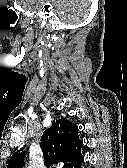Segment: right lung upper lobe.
Listing matches in <instances>:
<instances>
[{
  "instance_id": "right-lung-upper-lobe-1",
  "label": "right lung upper lobe",
  "mask_w": 127,
  "mask_h": 168,
  "mask_svg": "<svg viewBox=\"0 0 127 168\" xmlns=\"http://www.w3.org/2000/svg\"><path fill=\"white\" fill-rule=\"evenodd\" d=\"M78 128L65 118L56 119L41 136L40 147L45 165L64 164L63 168H73L82 158ZM25 153L21 150L10 158L7 168H23Z\"/></svg>"
}]
</instances>
